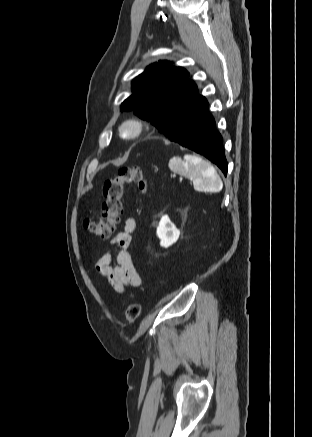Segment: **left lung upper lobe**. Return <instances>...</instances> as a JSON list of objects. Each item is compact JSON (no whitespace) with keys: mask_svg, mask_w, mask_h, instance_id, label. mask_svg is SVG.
Returning a JSON list of instances; mask_svg holds the SVG:
<instances>
[{"mask_svg":"<svg viewBox=\"0 0 312 437\" xmlns=\"http://www.w3.org/2000/svg\"><path fill=\"white\" fill-rule=\"evenodd\" d=\"M188 77L185 69L171 67L168 61L151 64L133 80V93L121 104V111L134 110L174 140L207 102Z\"/></svg>","mask_w":312,"mask_h":437,"instance_id":"obj_1","label":"left lung upper lobe"}]
</instances>
